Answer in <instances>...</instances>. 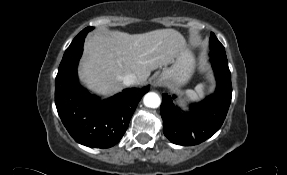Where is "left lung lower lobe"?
Returning <instances> with one entry per match:
<instances>
[{
	"mask_svg": "<svg viewBox=\"0 0 287 175\" xmlns=\"http://www.w3.org/2000/svg\"><path fill=\"white\" fill-rule=\"evenodd\" d=\"M210 62L217 80L216 92L192 105L190 112H182L173 104L175 96L163 94V132L175 144L192 146L207 140L219 130L227 115L232 97L228 61L211 56Z\"/></svg>",
	"mask_w": 287,
	"mask_h": 175,
	"instance_id": "left-lung-lower-lobe-1",
	"label": "left lung lower lobe"
}]
</instances>
